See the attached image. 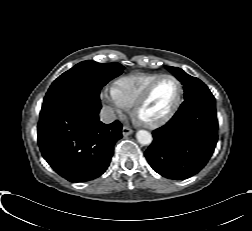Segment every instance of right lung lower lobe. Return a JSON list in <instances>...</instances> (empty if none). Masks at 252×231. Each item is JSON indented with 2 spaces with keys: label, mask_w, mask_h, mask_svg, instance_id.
<instances>
[{
  "label": "right lung lower lobe",
  "mask_w": 252,
  "mask_h": 231,
  "mask_svg": "<svg viewBox=\"0 0 252 231\" xmlns=\"http://www.w3.org/2000/svg\"><path fill=\"white\" fill-rule=\"evenodd\" d=\"M101 104L81 98H65L43 106L38 123V143L48 164L71 182H84L108 168L114 145L122 138L116 120H99Z\"/></svg>",
  "instance_id": "right-lung-lower-lobe-1"
}]
</instances>
